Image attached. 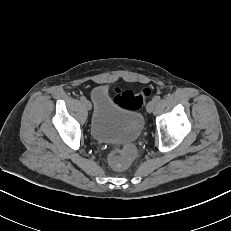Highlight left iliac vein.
<instances>
[{
  "mask_svg": "<svg viewBox=\"0 0 231 231\" xmlns=\"http://www.w3.org/2000/svg\"><path fill=\"white\" fill-rule=\"evenodd\" d=\"M155 105H156V101H154V100H151L150 102H148V104L146 106L147 112L151 113L154 110Z\"/></svg>",
  "mask_w": 231,
  "mask_h": 231,
  "instance_id": "obj_1",
  "label": "left iliac vein"
}]
</instances>
